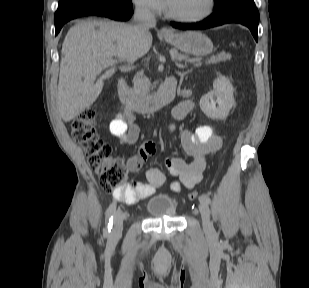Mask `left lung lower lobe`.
Here are the masks:
<instances>
[{"instance_id": "obj_1", "label": "left lung lower lobe", "mask_w": 309, "mask_h": 288, "mask_svg": "<svg viewBox=\"0 0 309 288\" xmlns=\"http://www.w3.org/2000/svg\"><path fill=\"white\" fill-rule=\"evenodd\" d=\"M259 13L253 0H233L213 12L207 19L197 23L172 22L174 28L183 30L207 29L226 23H240L247 26L258 41Z\"/></svg>"}]
</instances>
